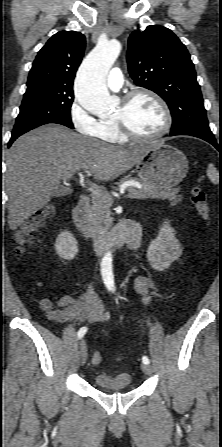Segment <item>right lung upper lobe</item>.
I'll list each match as a JSON object with an SVG mask.
<instances>
[{"label": "right lung upper lobe", "mask_w": 222, "mask_h": 447, "mask_svg": "<svg viewBox=\"0 0 222 447\" xmlns=\"http://www.w3.org/2000/svg\"><path fill=\"white\" fill-rule=\"evenodd\" d=\"M85 49V36L60 31L38 52L29 72L27 87L45 85L73 91V81Z\"/></svg>", "instance_id": "obj_1"}]
</instances>
